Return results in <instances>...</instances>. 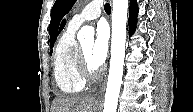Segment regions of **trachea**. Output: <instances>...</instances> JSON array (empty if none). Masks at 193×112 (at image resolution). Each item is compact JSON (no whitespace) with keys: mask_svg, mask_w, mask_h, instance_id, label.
<instances>
[{"mask_svg":"<svg viewBox=\"0 0 193 112\" xmlns=\"http://www.w3.org/2000/svg\"><path fill=\"white\" fill-rule=\"evenodd\" d=\"M104 9H105L106 13H108V14L111 12V7L108 3L105 4Z\"/></svg>","mask_w":193,"mask_h":112,"instance_id":"3493384b","label":"trachea"}]
</instances>
